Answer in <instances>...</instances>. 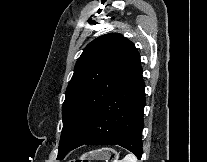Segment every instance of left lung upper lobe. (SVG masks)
Returning a JSON list of instances; mask_svg holds the SVG:
<instances>
[{
  "instance_id": "left-lung-upper-lobe-1",
  "label": "left lung upper lobe",
  "mask_w": 207,
  "mask_h": 162,
  "mask_svg": "<svg viewBox=\"0 0 207 162\" xmlns=\"http://www.w3.org/2000/svg\"><path fill=\"white\" fill-rule=\"evenodd\" d=\"M140 66L137 49L121 34L100 36L86 46L66 90L57 160L74 145L103 102Z\"/></svg>"
}]
</instances>
